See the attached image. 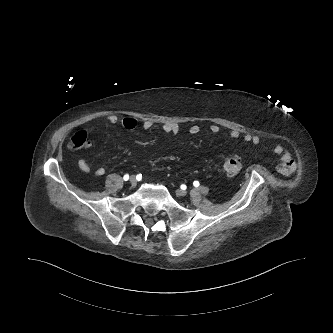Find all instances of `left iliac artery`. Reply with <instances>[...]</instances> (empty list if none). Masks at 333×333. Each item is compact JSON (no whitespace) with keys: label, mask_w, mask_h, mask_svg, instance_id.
<instances>
[{"label":"left iliac artery","mask_w":333,"mask_h":333,"mask_svg":"<svg viewBox=\"0 0 333 333\" xmlns=\"http://www.w3.org/2000/svg\"><path fill=\"white\" fill-rule=\"evenodd\" d=\"M193 185H194L195 187H198V186L200 185V183H199V181H194V182H193Z\"/></svg>","instance_id":"44dca946"}]
</instances>
